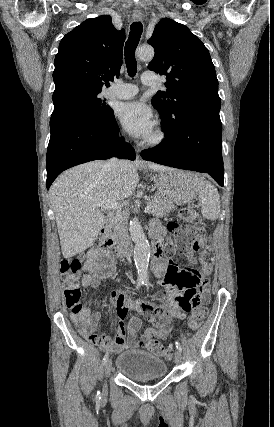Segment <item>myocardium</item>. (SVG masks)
Listing matches in <instances>:
<instances>
[{"label": "myocardium", "instance_id": "1", "mask_svg": "<svg viewBox=\"0 0 274 427\" xmlns=\"http://www.w3.org/2000/svg\"><path fill=\"white\" fill-rule=\"evenodd\" d=\"M168 140V130L163 125L159 124L155 129L154 136L149 139H145L142 146L150 150H157L165 146Z\"/></svg>", "mask_w": 274, "mask_h": 427}]
</instances>
